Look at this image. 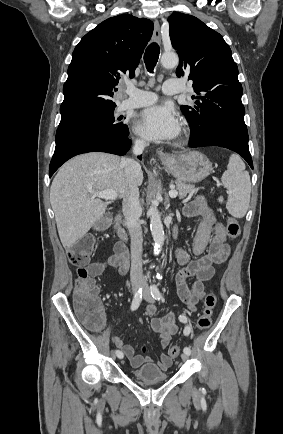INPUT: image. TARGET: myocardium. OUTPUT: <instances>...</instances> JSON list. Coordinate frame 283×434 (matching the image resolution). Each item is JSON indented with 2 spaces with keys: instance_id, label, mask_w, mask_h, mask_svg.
Returning a JSON list of instances; mask_svg holds the SVG:
<instances>
[{
  "instance_id": "obj_1",
  "label": "myocardium",
  "mask_w": 283,
  "mask_h": 434,
  "mask_svg": "<svg viewBox=\"0 0 283 434\" xmlns=\"http://www.w3.org/2000/svg\"><path fill=\"white\" fill-rule=\"evenodd\" d=\"M182 139H183V136H181V137H180V139L178 140V142H181V141H182Z\"/></svg>"
}]
</instances>
